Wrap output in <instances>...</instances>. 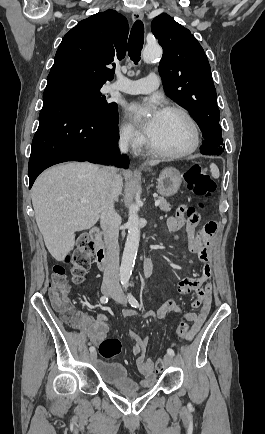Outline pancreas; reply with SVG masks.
Wrapping results in <instances>:
<instances>
[{
    "instance_id": "1",
    "label": "pancreas",
    "mask_w": 265,
    "mask_h": 434,
    "mask_svg": "<svg viewBox=\"0 0 265 434\" xmlns=\"http://www.w3.org/2000/svg\"><path fill=\"white\" fill-rule=\"evenodd\" d=\"M157 200H159V208L160 210H164V212H170V204H168L167 200L165 198H161V196H158Z\"/></svg>"
}]
</instances>
